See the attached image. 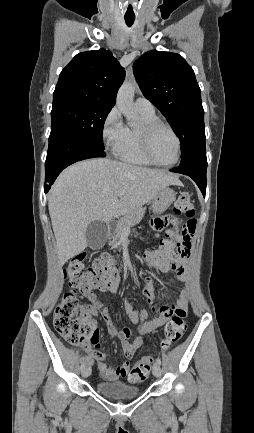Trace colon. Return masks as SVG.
I'll list each match as a JSON object with an SVG mask.
<instances>
[{
    "label": "colon",
    "instance_id": "obj_1",
    "mask_svg": "<svg viewBox=\"0 0 254 433\" xmlns=\"http://www.w3.org/2000/svg\"><path fill=\"white\" fill-rule=\"evenodd\" d=\"M174 216H169L165 225H169L166 237L159 249L148 255L153 264H160L179 256H188L191 241L196 230L195 208L188 194H181L174 205ZM184 215L186 222L178 216ZM87 255L78 254L65 266L64 275L71 289L66 291L55 308L53 323L57 333L72 345L91 344L95 335L94 325L89 308L84 305L77 291L88 292L109 283L118 275L116 259L109 254L96 258L86 266ZM186 309L174 307L170 319L164 327L161 341L163 348H169L178 342L186 330ZM153 364L152 358H142L133 367L130 379L133 382L144 381Z\"/></svg>",
    "mask_w": 254,
    "mask_h": 433
}]
</instances>
